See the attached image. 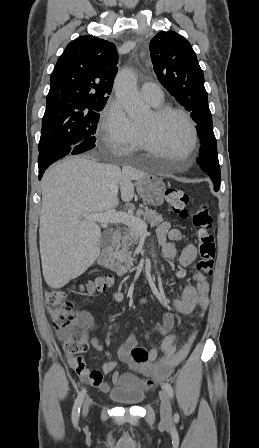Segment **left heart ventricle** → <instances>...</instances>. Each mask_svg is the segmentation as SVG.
<instances>
[{"instance_id":"obj_1","label":"left heart ventricle","mask_w":259,"mask_h":448,"mask_svg":"<svg viewBox=\"0 0 259 448\" xmlns=\"http://www.w3.org/2000/svg\"><path fill=\"white\" fill-rule=\"evenodd\" d=\"M151 123V112L145 119L139 122L146 126ZM156 138L163 148L158 150L155 156L165 158L171 162H183L187 160V147L190 143V130L185 121L177 116L170 115L161 120L156 126Z\"/></svg>"}]
</instances>
